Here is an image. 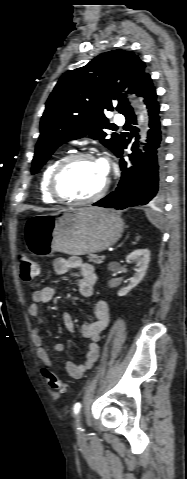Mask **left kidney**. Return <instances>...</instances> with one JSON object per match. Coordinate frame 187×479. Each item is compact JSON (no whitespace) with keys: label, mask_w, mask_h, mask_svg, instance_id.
<instances>
[{"label":"left kidney","mask_w":187,"mask_h":479,"mask_svg":"<svg viewBox=\"0 0 187 479\" xmlns=\"http://www.w3.org/2000/svg\"><path fill=\"white\" fill-rule=\"evenodd\" d=\"M127 262H135L136 268L135 274L130 278V283L127 287L118 291V296L127 295L134 287H136L144 278L148 264L150 262V251L148 249H138L131 252L126 257ZM120 269V265L116 262H111L108 265V270L111 272H117Z\"/></svg>","instance_id":"left-kidney-1"}]
</instances>
